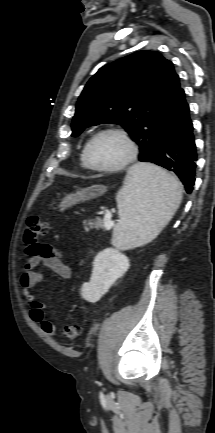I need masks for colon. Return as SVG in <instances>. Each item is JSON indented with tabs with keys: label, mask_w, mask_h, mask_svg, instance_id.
I'll use <instances>...</instances> for the list:
<instances>
[{
	"label": "colon",
	"mask_w": 215,
	"mask_h": 433,
	"mask_svg": "<svg viewBox=\"0 0 215 433\" xmlns=\"http://www.w3.org/2000/svg\"><path fill=\"white\" fill-rule=\"evenodd\" d=\"M48 223L39 217H30L27 220L24 231V242L32 247L46 234ZM63 335L68 340H75L80 335V326L77 324L67 325L64 328Z\"/></svg>",
	"instance_id": "obj_1"
}]
</instances>
